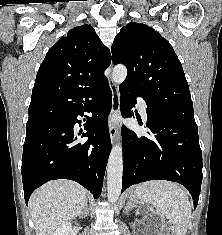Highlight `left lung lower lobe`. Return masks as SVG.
Masks as SVG:
<instances>
[{
    "label": "left lung lower lobe",
    "instance_id": "1",
    "mask_svg": "<svg viewBox=\"0 0 222 235\" xmlns=\"http://www.w3.org/2000/svg\"><path fill=\"white\" fill-rule=\"evenodd\" d=\"M120 108L124 118L134 116L131 107L139 96L120 85ZM150 137H137L122 127L123 180L122 192L131 185L149 180H168L182 184L197 206L202 183V152L195 119L146 108ZM127 137L131 138L126 143ZM121 192V193H122Z\"/></svg>",
    "mask_w": 222,
    "mask_h": 235
}]
</instances>
